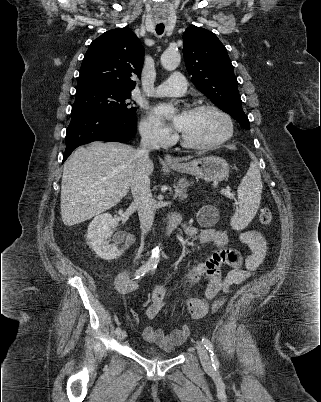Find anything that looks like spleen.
I'll use <instances>...</instances> for the list:
<instances>
[{"label": "spleen", "instance_id": "spleen-1", "mask_svg": "<svg viewBox=\"0 0 321 402\" xmlns=\"http://www.w3.org/2000/svg\"><path fill=\"white\" fill-rule=\"evenodd\" d=\"M262 189L260 170L254 162H251L238 187L239 207L230 222L233 229L242 230L251 222L259 208Z\"/></svg>", "mask_w": 321, "mask_h": 402}]
</instances>
